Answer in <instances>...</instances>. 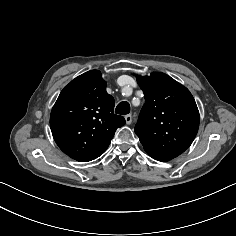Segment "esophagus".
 <instances>
[{"mask_svg":"<svg viewBox=\"0 0 236 236\" xmlns=\"http://www.w3.org/2000/svg\"><path fill=\"white\" fill-rule=\"evenodd\" d=\"M125 121H126V124H131L132 123V115L131 114H127L125 116Z\"/></svg>","mask_w":236,"mask_h":236,"instance_id":"esophagus-1","label":"esophagus"}]
</instances>
